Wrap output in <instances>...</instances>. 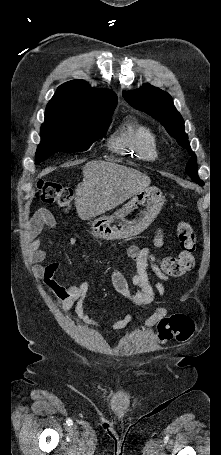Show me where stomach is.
Instances as JSON below:
<instances>
[{"label": "stomach", "instance_id": "0dacf381", "mask_svg": "<svg viewBox=\"0 0 221 455\" xmlns=\"http://www.w3.org/2000/svg\"><path fill=\"white\" fill-rule=\"evenodd\" d=\"M165 198L157 187H146L120 210L94 219L91 234L102 240L134 237L147 229L159 214Z\"/></svg>", "mask_w": 221, "mask_h": 455}]
</instances>
